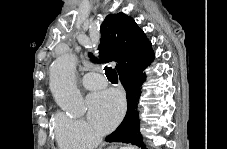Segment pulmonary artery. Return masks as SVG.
I'll use <instances>...</instances> for the list:
<instances>
[{
    "instance_id": "e3ab8cb5",
    "label": "pulmonary artery",
    "mask_w": 227,
    "mask_h": 149,
    "mask_svg": "<svg viewBox=\"0 0 227 149\" xmlns=\"http://www.w3.org/2000/svg\"><path fill=\"white\" fill-rule=\"evenodd\" d=\"M82 84L89 90H98L106 86V79L97 73L88 72L83 76Z\"/></svg>"
}]
</instances>
